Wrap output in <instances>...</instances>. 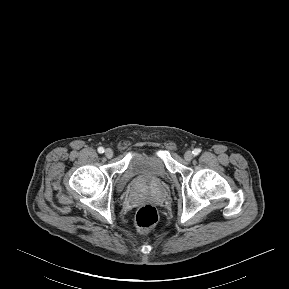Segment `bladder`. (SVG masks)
I'll list each match as a JSON object with an SVG mask.
<instances>
[{"label":"bladder","instance_id":"31cf9c89","mask_svg":"<svg viewBox=\"0 0 289 289\" xmlns=\"http://www.w3.org/2000/svg\"><path fill=\"white\" fill-rule=\"evenodd\" d=\"M168 177L169 172L159 157L150 154H137L128 162L117 187L119 190H123L133 182H160L167 180Z\"/></svg>","mask_w":289,"mask_h":289}]
</instances>
